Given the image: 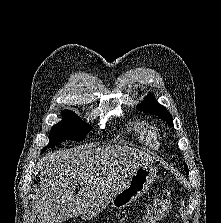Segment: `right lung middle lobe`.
Listing matches in <instances>:
<instances>
[{
	"instance_id": "right-lung-middle-lobe-1",
	"label": "right lung middle lobe",
	"mask_w": 221,
	"mask_h": 223,
	"mask_svg": "<svg viewBox=\"0 0 221 223\" xmlns=\"http://www.w3.org/2000/svg\"><path fill=\"white\" fill-rule=\"evenodd\" d=\"M63 120L54 125L50 131L49 144L42 150L43 153L48 147L54 148L64 141H80L85 139L91 126L81 121L77 115L70 111L62 112Z\"/></svg>"
}]
</instances>
